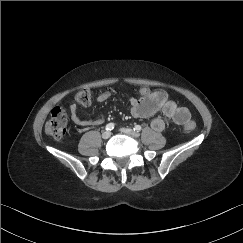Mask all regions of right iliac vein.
Returning <instances> with one entry per match:
<instances>
[{"mask_svg": "<svg viewBox=\"0 0 243 243\" xmlns=\"http://www.w3.org/2000/svg\"><path fill=\"white\" fill-rule=\"evenodd\" d=\"M111 136V132L110 131H105L102 133V138L103 139H108Z\"/></svg>", "mask_w": 243, "mask_h": 243, "instance_id": "right-iliac-vein-1", "label": "right iliac vein"}]
</instances>
